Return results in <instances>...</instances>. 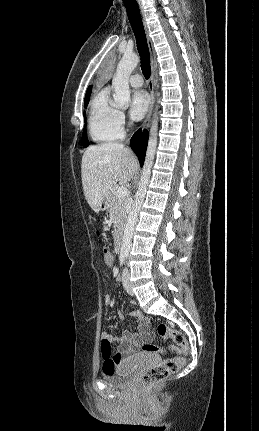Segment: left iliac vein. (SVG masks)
Listing matches in <instances>:
<instances>
[{
  "label": "left iliac vein",
  "instance_id": "4c4485c4",
  "mask_svg": "<svg viewBox=\"0 0 259 431\" xmlns=\"http://www.w3.org/2000/svg\"><path fill=\"white\" fill-rule=\"evenodd\" d=\"M122 283L123 286L125 288V290L127 291V293L131 296L134 295L131 283H130V273H129V269L125 268L123 270V274H122Z\"/></svg>",
  "mask_w": 259,
  "mask_h": 431
}]
</instances>
